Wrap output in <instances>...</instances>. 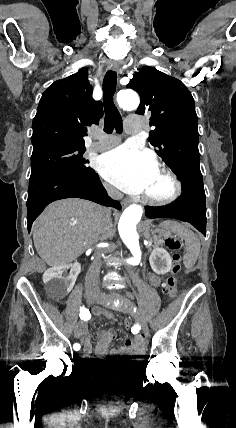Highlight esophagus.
I'll use <instances>...</instances> for the list:
<instances>
[{
    "mask_svg": "<svg viewBox=\"0 0 236 428\" xmlns=\"http://www.w3.org/2000/svg\"><path fill=\"white\" fill-rule=\"evenodd\" d=\"M110 68H111V70H114L115 72H118L119 71V64L116 63V62H113V63L110 64Z\"/></svg>",
    "mask_w": 236,
    "mask_h": 428,
    "instance_id": "esophagus-1",
    "label": "esophagus"
}]
</instances>
